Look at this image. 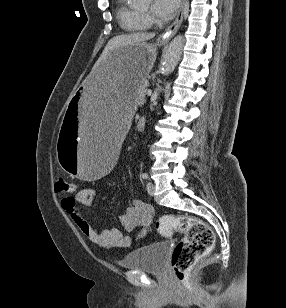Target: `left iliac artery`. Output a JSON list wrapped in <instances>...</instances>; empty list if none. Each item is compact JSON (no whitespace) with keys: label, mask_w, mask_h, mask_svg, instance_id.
Returning <instances> with one entry per match:
<instances>
[{"label":"left iliac artery","mask_w":286,"mask_h":308,"mask_svg":"<svg viewBox=\"0 0 286 308\" xmlns=\"http://www.w3.org/2000/svg\"><path fill=\"white\" fill-rule=\"evenodd\" d=\"M142 178L143 179H148V174L147 173H142Z\"/></svg>","instance_id":"obj_1"}]
</instances>
